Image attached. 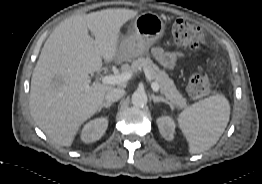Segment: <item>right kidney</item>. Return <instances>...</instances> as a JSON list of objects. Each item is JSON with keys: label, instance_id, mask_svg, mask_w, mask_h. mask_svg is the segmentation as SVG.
<instances>
[{"label": "right kidney", "instance_id": "ca27d5eb", "mask_svg": "<svg viewBox=\"0 0 262 184\" xmlns=\"http://www.w3.org/2000/svg\"><path fill=\"white\" fill-rule=\"evenodd\" d=\"M108 127V119L105 117L96 118L84 125L81 130V140L85 143H91L99 140Z\"/></svg>", "mask_w": 262, "mask_h": 184}]
</instances>
